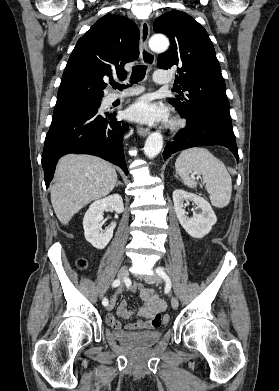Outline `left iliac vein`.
I'll list each match as a JSON object with an SVG mask.
<instances>
[{"label":"left iliac vein","mask_w":279,"mask_h":391,"mask_svg":"<svg viewBox=\"0 0 279 391\" xmlns=\"http://www.w3.org/2000/svg\"><path fill=\"white\" fill-rule=\"evenodd\" d=\"M145 281L149 284H160L162 282V279L158 275H153L145 278ZM171 306L174 310L178 309L179 302L177 297L172 296L171 297Z\"/></svg>","instance_id":"left-iliac-vein-1"}]
</instances>
